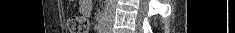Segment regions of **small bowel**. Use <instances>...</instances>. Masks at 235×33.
Listing matches in <instances>:
<instances>
[{"instance_id": "small-bowel-1", "label": "small bowel", "mask_w": 235, "mask_h": 33, "mask_svg": "<svg viewBox=\"0 0 235 33\" xmlns=\"http://www.w3.org/2000/svg\"><path fill=\"white\" fill-rule=\"evenodd\" d=\"M88 7H89V5H88L86 2H84V4L81 5V10H82L83 12H86V11L88 10Z\"/></svg>"}]
</instances>
